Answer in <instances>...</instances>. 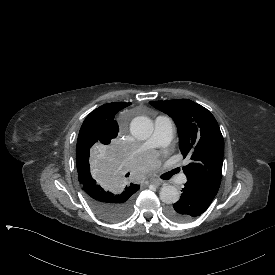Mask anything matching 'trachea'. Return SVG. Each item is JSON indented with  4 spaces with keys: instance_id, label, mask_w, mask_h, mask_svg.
<instances>
[{
    "instance_id": "3493384b",
    "label": "trachea",
    "mask_w": 275,
    "mask_h": 275,
    "mask_svg": "<svg viewBox=\"0 0 275 275\" xmlns=\"http://www.w3.org/2000/svg\"><path fill=\"white\" fill-rule=\"evenodd\" d=\"M128 176H129V173L126 174V177H128Z\"/></svg>"
}]
</instances>
